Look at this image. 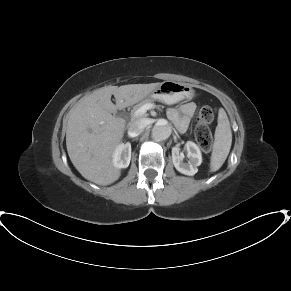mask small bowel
I'll return each instance as SVG.
<instances>
[{
    "label": "small bowel",
    "instance_id": "obj_1",
    "mask_svg": "<svg viewBox=\"0 0 291 291\" xmlns=\"http://www.w3.org/2000/svg\"><path fill=\"white\" fill-rule=\"evenodd\" d=\"M196 112V105L194 103H185L180 109L170 108L167 115L170 121L180 130L185 131L188 128L190 119Z\"/></svg>",
    "mask_w": 291,
    "mask_h": 291
}]
</instances>
